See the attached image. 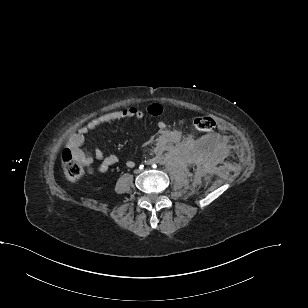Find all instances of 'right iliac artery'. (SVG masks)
<instances>
[{
  "mask_svg": "<svg viewBox=\"0 0 308 308\" xmlns=\"http://www.w3.org/2000/svg\"><path fill=\"white\" fill-rule=\"evenodd\" d=\"M143 167H144V166H143V165H141L139 168H140V169H143Z\"/></svg>",
  "mask_w": 308,
  "mask_h": 308,
  "instance_id": "obj_1",
  "label": "right iliac artery"
}]
</instances>
